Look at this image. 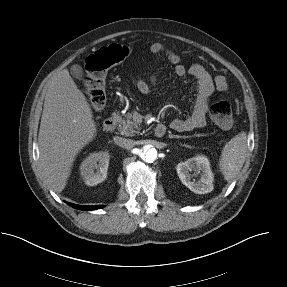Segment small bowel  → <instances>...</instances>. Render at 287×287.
Masks as SVG:
<instances>
[{
	"mask_svg": "<svg viewBox=\"0 0 287 287\" xmlns=\"http://www.w3.org/2000/svg\"><path fill=\"white\" fill-rule=\"evenodd\" d=\"M150 52L152 54H164L168 64L177 76L184 77L189 75L195 80L196 95L191 113L184 119H173L170 123L171 128L179 132H186L205 126L210 96L214 90L219 92H227L228 90L225 76L217 75L213 78L209 71L200 64L185 66L182 58L176 52L160 42L151 44ZM156 82L157 77L155 74H152L150 83L155 84ZM134 84L141 94L149 95L151 93L149 83L142 78H135Z\"/></svg>",
	"mask_w": 287,
	"mask_h": 287,
	"instance_id": "obj_1",
	"label": "small bowel"
}]
</instances>
